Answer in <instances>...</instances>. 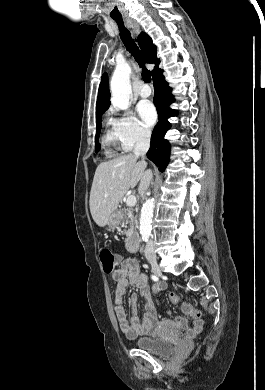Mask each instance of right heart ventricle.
Listing matches in <instances>:
<instances>
[{"label": "right heart ventricle", "mask_w": 265, "mask_h": 390, "mask_svg": "<svg viewBox=\"0 0 265 390\" xmlns=\"http://www.w3.org/2000/svg\"><path fill=\"white\" fill-rule=\"evenodd\" d=\"M103 145L108 154H113L119 148V141L113 129H107L103 137Z\"/></svg>", "instance_id": "1"}]
</instances>
